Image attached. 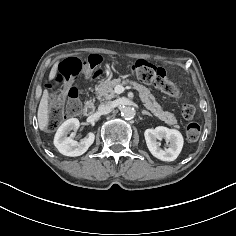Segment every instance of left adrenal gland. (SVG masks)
<instances>
[{
	"label": "left adrenal gland",
	"instance_id": "obj_1",
	"mask_svg": "<svg viewBox=\"0 0 236 236\" xmlns=\"http://www.w3.org/2000/svg\"><path fill=\"white\" fill-rule=\"evenodd\" d=\"M142 115H148V116H151L152 117V114H150L148 111L146 110H142Z\"/></svg>",
	"mask_w": 236,
	"mask_h": 236
}]
</instances>
